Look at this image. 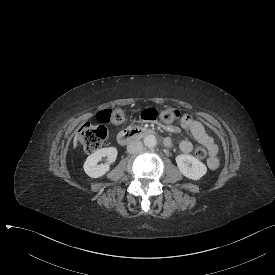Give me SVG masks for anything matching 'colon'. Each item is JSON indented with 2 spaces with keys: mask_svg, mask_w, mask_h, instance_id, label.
<instances>
[{
  "mask_svg": "<svg viewBox=\"0 0 275 275\" xmlns=\"http://www.w3.org/2000/svg\"><path fill=\"white\" fill-rule=\"evenodd\" d=\"M178 110L166 108L163 110H156L155 108H146L142 111V118L148 121H160L163 124L172 123L180 116L176 115ZM125 120V115L121 110H101L98 113V124L93 125L86 123L80 126L78 130V139L83 149L88 153H94L100 150L108 136L106 124H121ZM195 155L199 159H204L207 156V151L204 147H197Z\"/></svg>",
  "mask_w": 275,
  "mask_h": 275,
  "instance_id": "5ec220e1",
  "label": "colon"
}]
</instances>
